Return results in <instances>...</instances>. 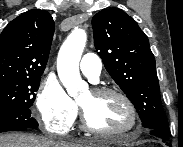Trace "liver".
<instances>
[{"instance_id":"1","label":"liver","mask_w":183,"mask_h":147,"mask_svg":"<svg viewBox=\"0 0 183 147\" xmlns=\"http://www.w3.org/2000/svg\"><path fill=\"white\" fill-rule=\"evenodd\" d=\"M97 145L100 143H96V141L67 143L24 133L0 135V147H94Z\"/></svg>"}]
</instances>
